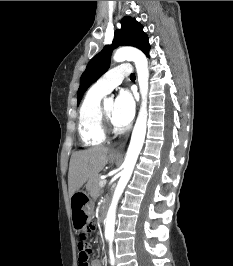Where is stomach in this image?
I'll return each mask as SVG.
<instances>
[{"label": "stomach", "instance_id": "0dacf381", "mask_svg": "<svg viewBox=\"0 0 233 266\" xmlns=\"http://www.w3.org/2000/svg\"><path fill=\"white\" fill-rule=\"evenodd\" d=\"M119 159V156L110 154L109 160L115 162ZM88 191L86 188H79V191H75L72 194L71 204H72V228L75 232H86L87 225H91L92 221L90 220L89 212H87L89 197Z\"/></svg>", "mask_w": 233, "mask_h": 266}]
</instances>
